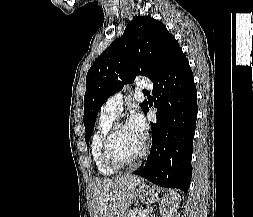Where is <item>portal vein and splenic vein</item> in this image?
I'll return each instance as SVG.
<instances>
[{
  "label": "portal vein and splenic vein",
  "mask_w": 253,
  "mask_h": 217,
  "mask_svg": "<svg viewBox=\"0 0 253 217\" xmlns=\"http://www.w3.org/2000/svg\"><path fill=\"white\" fill-rule=\"evenodd\" d=\"M147 213H148V210H147V209L142 210V211H140V213L138 214V217H146Z\"/></svg>",
  "instance_id": "18ae733b"
}]
</instances>
